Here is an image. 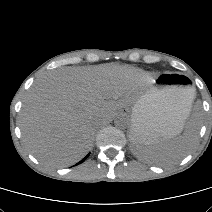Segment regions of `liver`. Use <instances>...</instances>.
<instances>
[{"label": "liver", "instance_id": "1", "mask_svg": "<svg viewBox=\"0 0 212 212\" xmlns=\"http://www.w3.org/2000/svg\"><path fill=\"white\" fill-rule=\"evenodd\" d=\"M152 82L150 73L126 65L53 70L24 99L23 142L45 165L69 166L88 152L98 124L132 105Z\"/></svg>", "mask_w": 212, "mask_h": 212}]
</instances>
